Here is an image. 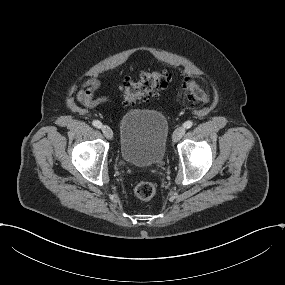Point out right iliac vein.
Segmentation results:
<instances>
[{
  "instance_id": "obj_1",
  "label": "right iliac vein",
  "mask_w": 285,
  "mask_h": 285,
  "mask_svg": "<svg viewBox=\"0 0 285 285\" xmlns=\"http://www.w3.org/2000/svg\"><path fill=\"white\" fill-rule=\"evenodd\" d=\"M102 132H103V134H104V136L107 138V139H112V137H113V132H112V129L109 127V126H107V125H103L102 126Z\"/></svg>"
}]
</instances>
